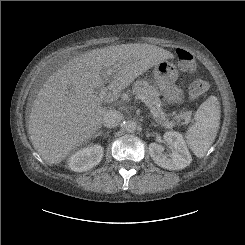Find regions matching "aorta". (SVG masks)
I'll list each match as a JSON object with an SVG mask.
<instances>
[{
    "instance_id": "aorta-1",
    "label": "aorta",
    "mask_w": 245,
    "mask_h": 245,
    "mask_svg": "<svg viewBox=\"0 0 245 245\" xmlns=\"http://www.w3.org/2000/svg\"><path fill=\"white\" fill-rule=\"evenodd\" d=\"M124 129L129 133L134 132L137 129V123L133 120H128L124 123Z\"/></svg>"
}]
</instances>
